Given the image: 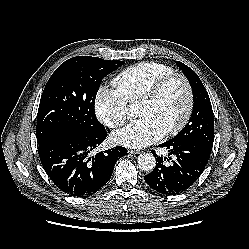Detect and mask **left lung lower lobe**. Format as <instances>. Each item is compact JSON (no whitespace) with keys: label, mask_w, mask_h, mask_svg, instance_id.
Masks as SVG:
<instances>
[{"label":"left lung lower lobe","mask_w":249,"mask_h":249,"mask_svg":"<svg viewBox=\"0 0 249 249\" xmlns=\"http://www.w3.org/2000/svg\"><path fill=\"white\" fill-rule=\"evenodd\" d=\"M169 150V157H155L156 167L144 177L155 191L176 195L188 189L202 174L211 150L195 143H180L169 140L160 145ZM153 153V152H152ZM170 164H165V161Z\"/></svg>","instance_id":"1"}]
</instances>
